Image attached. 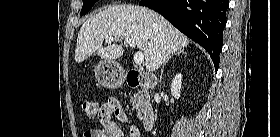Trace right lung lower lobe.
Returning <instances> with one entry per match:
<instances>
[{
  "mask_svg": "<svg viewBox=\"0 0 280 137\" xmlns=\"http://www.w3.org/2000/svg\"><path fill=\"white\" fill-rule=\"evenodd\" d=\"M205 48L218 69L229 0H142Z\"/></svg>",
  "mask_w": 280,
  "mask_h": 137,
  "instance_id": "1",
  "label": "right lung lower lobe"
}]
</instances>
